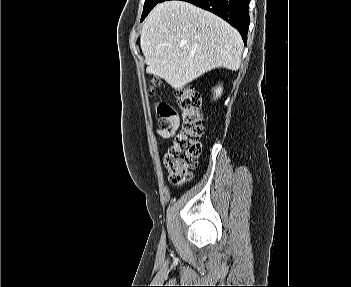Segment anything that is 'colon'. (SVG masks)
Returning <instances> with one entry per match:
<instances>
[{"instance_id":"colon-1","label":"colon","mask_w":351,"mask_h":287,"mask_svg":"<svg viewBox=\"0 0 351 287\" xmlns=\"http://www.w3.org/2000/svg\"><path fill=\"white\" fill-rule=\"evenodd\" d=\"M178 104L182 127L165 155L164 163L169 171L171 183L179 187L190 180L191 170L197 164L201 151L200 138L204 127L200 95L192 86L184 87L178 92ZM157 111L160 116V126L168 128L176 116L174 109L169 104L161 102Z\"/></svg>"}]
</instances>
